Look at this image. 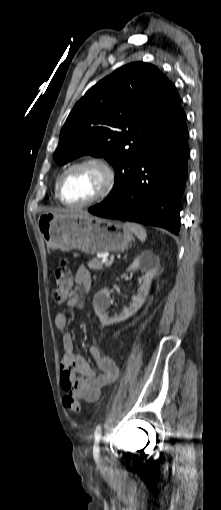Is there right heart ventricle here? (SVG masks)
<instances>
[{
	"mask_svg": "<svg viewBox=\"0 0 221 510\" xmlns=\"http://www.w3.org/2000/svg\"><path fill=\"white\" fill-rule=\"evenodd\" d=\"M57 182H58V179L56 180V185L55 186H57Z\"/></svg>",
	"mask_w": 221,
	"mask_h": 510,
	"instance_id": "right-heart-ventricle-1",
	"label": "right heart ventricle"
}]
</instances>
